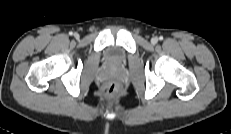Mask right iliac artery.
Returning a JSON list of instances; mask_svg holds the SVG:
<instances>
[{
    "instance_id": "82829eb1",
    "label": "right iliac artery",
    "mask_w": 231,
    "mask_h": 134,
    "mask_svg": "<svg viewBox=\"0 0 231 134\" xmlns=\"http://www.w3.org/2000/svg\"><path fill=\"white\" fill-rule=\"evenodd\" d=\"M69 35H71V36H72V35H73V32H69Z\"/></svg>"
}]
</instances>
